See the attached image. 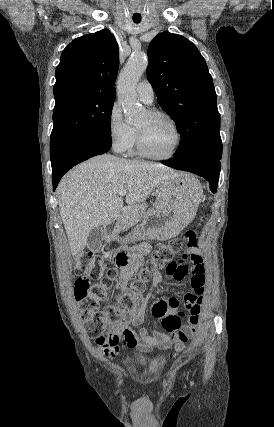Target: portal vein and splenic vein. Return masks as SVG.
<instances>
[{
    "mask_svg": "<svg viewBox=\"0 0 274 427\" xmlns=\"http://www.w3.org/2000/svg\"><path fill=\"white\" fill-rule=\"evenodd\" d=\"M117 194L118 196H126L127 192L126 190H118Z\"/></svg>",
    "mask_w": 274,
    "mask_h": 427,
    "instance_id": "18ae733b",
    "label": "portal vein and splenic vein"
}]
</instances>
